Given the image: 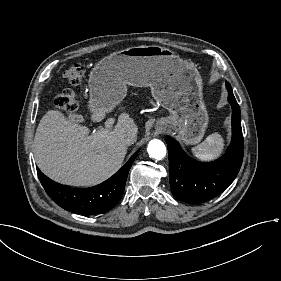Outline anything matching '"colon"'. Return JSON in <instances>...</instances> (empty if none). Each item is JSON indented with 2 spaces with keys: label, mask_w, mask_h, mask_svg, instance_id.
Segmentation results:
<instances>
[{
  "label": "colon",
  "mask_w": 281,
  "mask_h": 281,
  "mask_svg": "<svg viewBox=\"0 0 281 281\" xmlns=\"http://www.w3.org/2000/svg\"><path fill=\"white\" fill-rule=\"evenodd\" d=\"M84 65L81 62H75L69 65L63 78L68 83H77L84 74ZM56 108L60 111L74 112L78 108V100L72 91H63L55 100Z\"/></svg>",
  "instance_id": "1"
}]
</instances>
